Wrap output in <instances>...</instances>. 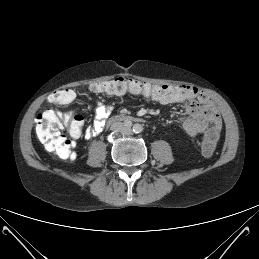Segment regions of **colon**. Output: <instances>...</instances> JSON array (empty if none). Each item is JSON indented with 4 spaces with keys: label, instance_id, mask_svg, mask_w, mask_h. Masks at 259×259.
Instances as JSON below:
<instances>
[{
    "label": "colon",
    "instance_id": "1",
    "mask_svg": "<svg viewBox=\"0 0 259 259\" xmlns=\"http://www.w3.org/2000/svg\"><path fill=\"white\" fill-rule=\"evenodd\" d=\"M90 90L96 93L110 95H122L130 93L133 95L148 98H157L164 104L179 103L181 101H195L200 96V91L195 86L186 85H162L143 82L128 77H116L91 85ZM75 95L71 90H57L49 96V101L57 106L70 104ZM36 134L45 148L61 159H71L75 139L82 133L83 118L74 113H62L56 111H45L37 115ZM65 128L69 137L60 133V129ZM219 137V131L215 127H210L202 140V151L206 156L212 155Z\"/></svg>",
    "mask_w": 259,
    "mask_h": 259
}]
</instances>
